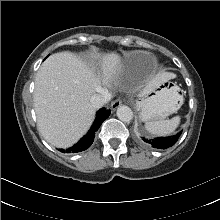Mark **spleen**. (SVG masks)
Masks as SVG:
<instances>
[{"instance_id": "spleen-1", "label": "spleen", "mask_w": 220, "mask_h": 220, "mask_svg": "<svg viewBox=\"0 0 220 220\" xmlns=\"http://www.w3.org/2000/svg\"><path fill=\"white\" fill-rule=\"evenodd\" d=\"M180 119V116H175L168 120L148 121L145 123V128L152 134L166 136L175 131L180 124Z\"/></svg>"}]
</instances>
